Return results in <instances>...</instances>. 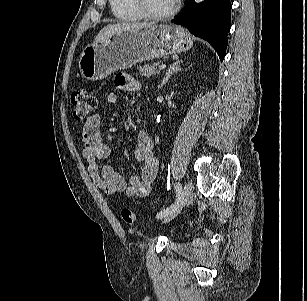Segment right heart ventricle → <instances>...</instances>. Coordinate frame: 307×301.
Segmentation results:
<instances>
[{
	"label": "right heart ventricle",
	"instance_id": "obj_1",
	"mask_svg": "<svg viewBox=\"0 0 307 301\" xmlns=\"http://www.w3.org/2000/svg\"><path fill=\"white\" fill-rule=\"evenodd\" d=\"M113 15L124 22L138 21L143 18L133 0H109Z\"/></svg>",
	"mask_w": 307,
	"mask_h": 301
}]
</instances>
